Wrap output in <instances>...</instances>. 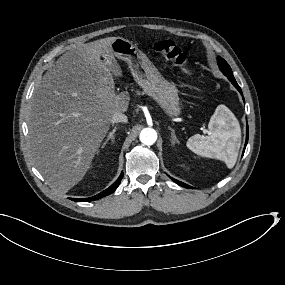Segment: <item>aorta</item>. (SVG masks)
I'll list each match as a JSON object with an SVG mask.
<instances>
[{
	"label": "aorta",
	"mask_w": 285,
	"mask_h": 285,
	"mask_svg": "<svg viewBox=\"0 0 285 285\" xmlns=\"http://www.w3.org/2000/svg\"><path fill=\"white\" fill-rule=\"evenodd\" d=\"M157 140V133L152 128H145L140 133V141L146 145L151 146L153 145Z\"/></svg>",
	"instance_id": "762f6f07"
}]
</instances>
